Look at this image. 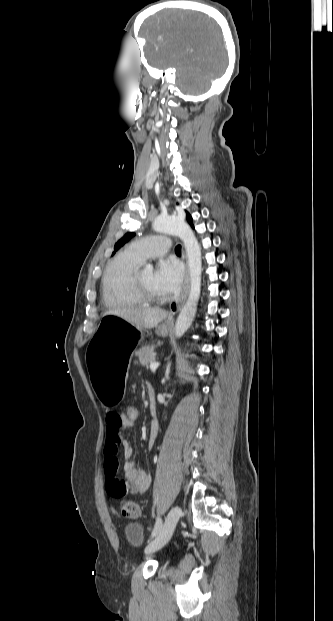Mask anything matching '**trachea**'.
<instances>
[{
    "label": "trachea",
    "mask_w": 333,
    "mask_h": 621,
    "mask_svg": "<svg viewBox=\"0 0 333 621\" xmlns=\"http://www.w3.org/2000/svg\"><path fill=\"white\" fill-rule=\"evenodd\" d=\"M175 252H176V253H180V252H181V245H177V246L175 247Z\"/></svg>",
    "instance_id": "trachea-1"
}]
</instances>
